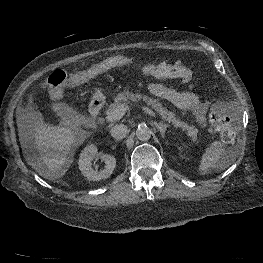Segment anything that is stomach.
Listing matches in <instances>:
<instances>
[{
  "label": "stomach",
  "instance_id": "1",
  "mask_svg": "<svg viewBox=\"0 0 263 263\" xmlns=\"http://www.w3.org/2000/svg\"><path fill=\"white\" fill-rule=\"evenodd\" d=\"M94 99H104V95L102 94L101 90H96L95 93L93 94Z\"/></svg>",
  "mask_w": 263,
  "mask_h": 263
}]
</instances>
